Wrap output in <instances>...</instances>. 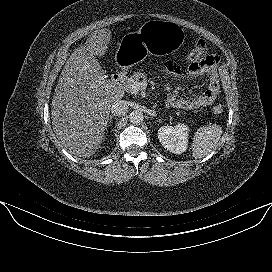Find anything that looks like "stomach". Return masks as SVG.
Listing matches in <instances>:
<instances>
[{"instance_id":"1","label":"stomach","mask_w":272,"mask_h":272,"mask_svg":"<svg viewBox=\"0 0 272 272\" xmlns=\"http://www.w3.org/2000/svg\"><path fill=\"white\" fill-rule=\"evenodd\" d=\"M184 29L166 20L146 21L138 31L123 36L116 51L119 67L129 68L146 54H163L178 50L184 43Z\"/></svg>"}]
</instances>
